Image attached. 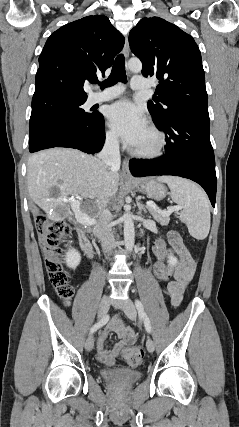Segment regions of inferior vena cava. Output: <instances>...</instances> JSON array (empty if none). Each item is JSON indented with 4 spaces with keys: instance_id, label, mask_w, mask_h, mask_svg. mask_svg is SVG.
<instances>
[{
    "instance_id": "inferior-vena-cava-1",
    "label": "inferior vena cava",
    "mask_w": 239,
    "mask_h": 427,
    "mask_svg": "<svg viewBox=\"0 0 239 427\" xmlns=\"http://www.w3.org/2000/svg\"><path fill=\"white\" fill-rule=\"evenodd\" d=\"M98 157L107 167L116 170L120 168L119 141L116 135H110L106 138L105 144ZM110 220L111 214L105 209L101 213L98 224L95 227V233L102 242V247L106 252H111L116 245Z\"/></svg>"
}]
</instances>
